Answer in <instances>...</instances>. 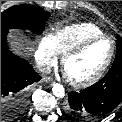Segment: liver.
Returning <instances> with one entry per match:
<instances>
[{
  "instance_id": "6515ba94",
  "label": "liver",
  "mask_w": 122,
  "mask_h": 122,
  "mask_svg": "<svg viewBox=\"0 0 122 122\" xmlns=\"http://www.w3.org/2000/svg\"><path fill=\"white\" fill-rule=\"evenodd\" d=\"M13 37L15 38V41L13 42V47L16 52H19L21 54L23 52H30L33 50L26 36H23L20 33L15 32Z\"/></svg>"
}]
</instances>
